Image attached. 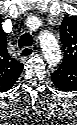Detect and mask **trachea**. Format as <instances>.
<instances>
[{
  "instance_id": "obj_1",
  "label": "trachea",
  "mask_w": 77,
  "mask_h": 125,
  "mask_svg": "<svg viewBox=\"0 0 77 125\" xmlns=\"http://www.w3.org/2000/svg\"><path fill=\"white\" fill-rule=\"evenodd\" d=\"M32 44H33V38L29 33L23 34L18 41V45L20 48L24 46H31Z\"/></svg>"
}]
</instances>
